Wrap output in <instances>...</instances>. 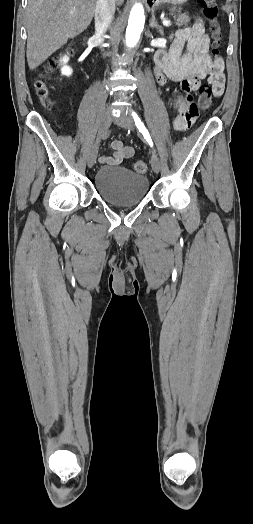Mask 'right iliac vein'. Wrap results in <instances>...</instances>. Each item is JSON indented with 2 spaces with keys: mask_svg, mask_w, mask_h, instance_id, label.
I'll return each mask as SVG.
<instances>
[{
  "mask_svg": "<svg viewBox=\"0 0 253 524\" xmlns=\"http://www.w3.org/2000/svg\"><path fill=\"white\" fill-rule=\"evenodd\" d=\"M111 122H112V114L109 110H107L102 114L100 124H99V134H98L97 139H100V137L107 131V129L111 125ZM98 146H99V140H96V142L94 143V145L92 146L88 154L87 164H88V167L90 168L93 167V165L96 162V158L98 154Z\"/></svg>",
  "mask_w": 253,
  "mask_h": 524,
  "instance_id": "obj_1",
  "label": "right iliac vein"
}]
</instances>
